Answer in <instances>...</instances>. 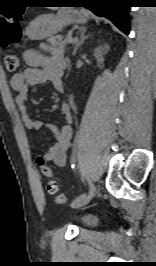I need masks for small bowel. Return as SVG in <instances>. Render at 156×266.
I'll return each mask as SVG.
<instances>
[{"mask_svg":"<svg viewBox=\"0 0 156 266\" xmlns=\"http://www.w3.org/2000/svg\"><path fill=\"white\" fill-rule=\"evenodd\" d=\"M44 49H48L44 46ZM27 68L14 74L10 79V86L15 91V104L21 114L25 127L31 131L47 129L53 134V144L42 155L44 161H52L57 166L66 164L67 152L71 144L73 134V115L68 104L61 105L60 111L64 124L58 128L51 124H45L41 120L32 118L28 113V89L30 86L50 83L60 93L64 91L63 73L66 68V60L58 49H51L50 55L41 51L28 49L23 53Z\"/></svg>","mask_w":156,"mask_h":266,"instance_id":"1","label":"small bowel"}]
</instances>
